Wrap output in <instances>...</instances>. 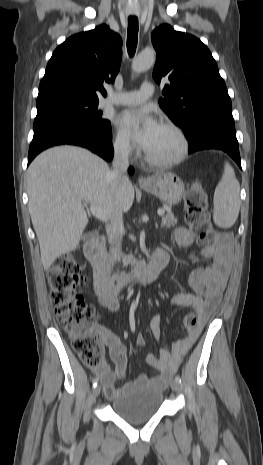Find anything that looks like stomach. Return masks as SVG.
<instances>
[{"label":"stomach","mask_w":263,"mask_h":465,"mask_svg":"<svg viewBox=\"0 0 263 465\" xmlns=\"http://www.w3.org/2000/svg\"><path fill=\"white\" fill-rule=\"evenodd\" d=\"M169 205L178 204L184 193V183L174 173L165 172L151 178V184L142 187Z\"/></svg>","instance_id":"stomach-1"}]
</instances>
